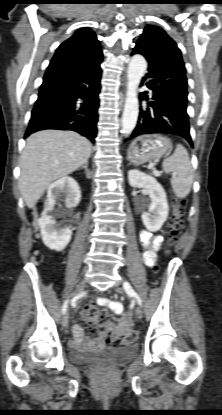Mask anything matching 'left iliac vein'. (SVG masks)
<instances>
[{"label": "left iliac vein", "mask_w": 222, "mask_h": 415, "mask_svg": "<svg viewBox=\"0 0 222 415\" xmlns=\"http://www.w3.org/2000/svg\"><path fill=\"white\" fill-rule=\"evenodd\" d=\"M115 290H116V292H118V293H122V292H123V289H122L120 286H116V287H115ZM135 315H136V317H137L139 320H140V319H142V317H143V312H142L141 308L136 307V309H135Z\"/></svg>", "instance_id": "left-iliac-vein-1"}]
</instances>
